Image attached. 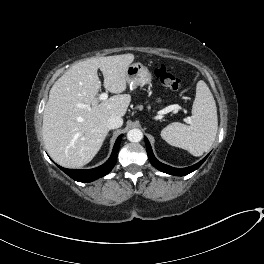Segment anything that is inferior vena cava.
<instances>
[{"label":"inferior vena cava","mask_w":264,"mask_h":264,"mask_svg":"<svg viewBox=\"0 0 264 264\" xmlns=\"http://www.w3.org/2000/svg\"><path fill=\"white\" fill-rule=\"evenodd\" d=\"M123 124V119L119 116H112L107 120L108 129H115L121 127Z\"/></svg>","instance_id":"602c4592"}]
</instances>
